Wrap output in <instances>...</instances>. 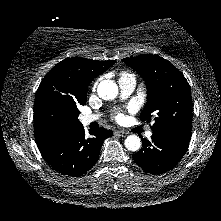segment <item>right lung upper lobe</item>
Instances as JSON below:
<instances>
[{
    "instance_id": "1",
    "label": "right lung upper lobe",
    "mask_w": 221,
    "mask_h": 221,
    "mask_svg": "<svg viewBox=\"0 0 221 221\" xmlns=\"http://www.w3.org/2000/svg\"><path fill=\"white\" fill-rule=\"evenodd\" d=\"M114 63V60L97 61L79 57L64 59L56 64L41 81L36 92L35 104L40 97L47 94L75 102L86 100L91 81ZM77 127H66L56 133L45 134L34 126L39 150H44Z\"/></svg>"
}]
</instances>
